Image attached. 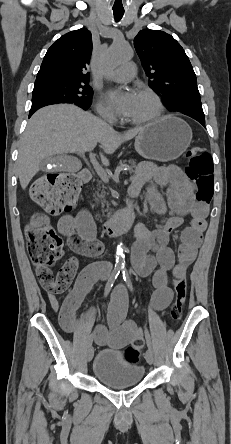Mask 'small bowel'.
Returning <instances> with one entry per match:
<instances>
[{"instance_id":"1","label":"small bowel","mask_w":231,"mask_h":444,"mask_svg":"<svg viewBox=\"0 0 231 444\" xmlns=\"http://www.w3.org/2000/svg\"><path fill=\"white\" fill-rule=\"evenodd\" d=\"M155 185L167 190L166 201ZM144 188L151 205L162 216V221L151 231L143 224L136 225L131 261L138 274L152 275L155 290L151 306L163 310L173 297L171 278L185 276L187 268L196 258L209 207L195 199L194 186L181 169L174 165L161 168L150 164L142 166L133 177L129 192L137 196ZM186 216L192 218V223L183 231L176 261L168 243L171 232L183 223ZM58 231L67 238L70 248L83 256L95 257L103 252V245L95 239L94 225L87 212H81L76 217L62 216L58 222ZM107 270V265L103 263L84 267L62 304L58 295L48 293L50 306L58 313L59 323L65 331L74 332L94 318V308L80 317L76 316V312L92 286L105 277ZM127 303L126 292L122 288L116 289L109 308L110 328L96 325L92 332L98 345L121 349L129 343L143 340L140 326L133 320L120 318L127 309Z\"/></svg>"}]
</instances>
